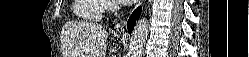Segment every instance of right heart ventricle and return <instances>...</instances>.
<instances>
[{
    "mask_svg": "<svg viewBox=\"0 0 249 57\" xmlns=\"http://www.w3.org/2000/svg\"><path fill=\"white\" fill-rule=\"evenodd\" d=\"M103 10L102 0H75L73 5L74 13L88 21L98 20Z\"/></svg>",
    "mask_w": 249,
    "mask_h": 57,
    "instance_id": "1",
    "label": "right heart ventricle"
}]
</instances>
